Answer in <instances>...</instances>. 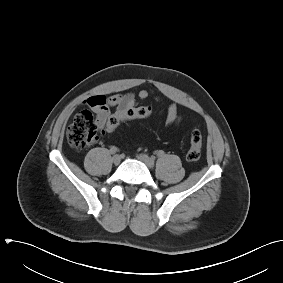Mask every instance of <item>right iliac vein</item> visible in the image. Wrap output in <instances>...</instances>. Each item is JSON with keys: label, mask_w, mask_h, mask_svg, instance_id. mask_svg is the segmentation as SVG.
Here are the masks:
<instances>
[{"label": "right iliac vein", "mask_w": 283, "mask_h": 283, "mask_svg": "<svg viewBox=\"0 0 283 283\" xmlns=\"http://www.w3.org/2000/svg\"><path fill=\"white\" fill-rule=\"evenodd\" d=\"M112 162L114 165H119L121 162V156L120 155H114L112 157Z\"/></svg>", "instance_id": "right-iliac-vein-1"}]
</instances>
